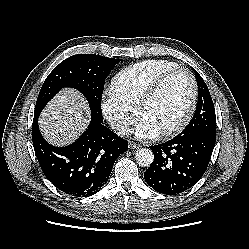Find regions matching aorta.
Wrapping results in <instances>:
<instances>
[{
  "label": "aorta",
  "instance_id": "obj_1",
  "mask_svg": "<svg viewBox=\"0 0 249 249\" xmlns=\"http://www.w3.org/2000/svg\"><path fill=\"white\" fill-rule=\"evenodd\" d=\"M136 162L142 167H149L154 160V154L151 149L140 148L135 154Z\"/></svg>",
  "mask_w": 249,
  "mask_h": 249
}]
</instances>
